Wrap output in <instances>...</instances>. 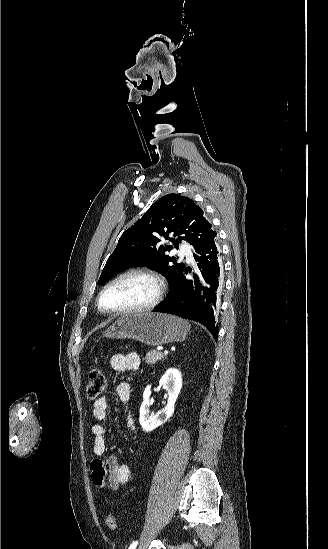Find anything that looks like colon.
Returning a JSON list of instances; mask_svg holds the SVG:
<instances>
[{
    "label": "colon",
    "instance_id": "colon-1",
    "mask_svg": "<svg viewBox=\"0 0 328 549\" xmlns=\"http://www.w3.org/2000/svg\"><path fill=\"white\" fill-rule=\"evenodd\" d=\"M106 387V378L99 368H92L86 386V395L90 400H95L100 397ZM106 526L113 530L116 528V519L112 513H107L105 516Z\"/></svg>",
    "mask_w": 328,
    "mask_h": 549
}]
</instances>
